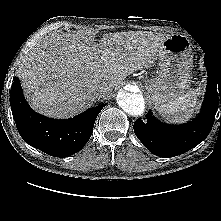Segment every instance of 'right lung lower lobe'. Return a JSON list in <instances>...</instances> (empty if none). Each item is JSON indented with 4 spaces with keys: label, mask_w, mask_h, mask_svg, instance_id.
<instances>
[{
    "label": "right lung lower lobe",
    "mask_w": 221,
    "mask_h": 221,
    "mask_svg": "<svg viewBox=\"0 0 221 221\" xmlns=\"http://www.w3.org/2000/svg\"><path fill=\"white\" fill-rule=\"evenodd\" d=\"M10 104L17 129L24 141L54 157H68L80 151L93 132L95 120L104 106L90 108L74 118L49 119L36 113L24 98L20 81L13 78Z\"/></svg>",
    "instance_id": "right-lung-lower-lobe-1"
}]
</instances>
